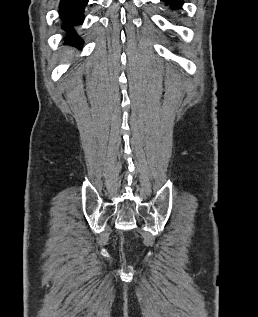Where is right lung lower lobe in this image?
Here are the masks:
<instances>
[{
    "mask_svg": "<svg viewBox=\"0 0 258 317\" xmlns=\"http://www.w3.org/2000/svg\"><path fill=\"white\" fill-rule=\"evenodd\" d=\"M88 0H60L59 15L63 21L62 29L66 32V43L72 44L78 48L80 38L76 36L73 26L83 23L84 8Z\"/></svg>",
    "mask_w": 258,
    "mask_h": 317,
    "instance_id": "98d812e1",
    "label": "right lung lower lobe"
}]
</instances>
